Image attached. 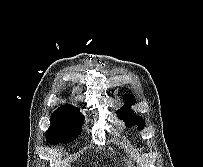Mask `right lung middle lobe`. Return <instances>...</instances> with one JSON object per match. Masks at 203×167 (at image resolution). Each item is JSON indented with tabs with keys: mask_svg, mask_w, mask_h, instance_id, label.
I'll return each mask as SVG.
<instances>
[{
	"mask_svg": "<svg viewBox=\"0 0 203 167\" xmlns=\"http://www.w3.org/2000/svg\"><path fill=\"white\" fill-rule=\"evenodd\" d=\"M84 117L77 108L55 111L51 115V125L46 131L50 144L68 143L81 133Z\"/></svg>",
	"mask_w": 203,
	"mask_h": 167,
	"instance_id": "right-lung-middle-lobe-1",
	"label": "right lung middle lobe"
}]
</instances>
